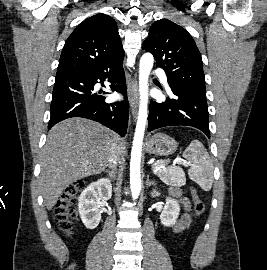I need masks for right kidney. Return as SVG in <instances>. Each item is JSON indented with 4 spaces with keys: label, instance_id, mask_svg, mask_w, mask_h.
<instances>
[{
    "label": "right kidney",
    "instance_id": "ca27d5eb",
    "mask_svg": "<svg viewBox=\"0 0 267 270\" xmlns=\"http://www.w3.org/2000/svg\"><path fill=\"white\" fill-rule=\"evenodd\" d=\"M112 196V185L109 179H99L88 185L78 199L80 218L87 229H95L101 220L100 205Z\"/></svg>",
    "mask_w": 267,
    "mask_h": 270
}]
</instances>
